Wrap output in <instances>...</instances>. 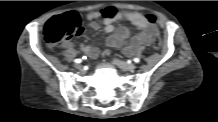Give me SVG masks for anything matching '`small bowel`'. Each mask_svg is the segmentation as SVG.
I'll use <instances>...</instances> for the list:
<instances>
[{
    "mask_svg": "<svg viewBox=\"0 0 218 122\" xmlns=\"http://www.w3.org/2000/svg\"><path fill=\"white\" fill-rule=\"evenodd\" d=\"M103 17L104 29L111 35L107 39L108 48H121L125 54L130 55L139 50L143 46L150 44L151 39L155 33V26L147 20V18L136 11H118L115 7L107 6L98 11L88 13L87 19L90 21V28L97 30L98 23L95 21L97 18ZM126 20L138 29V33L133 36L128 43L129 31L126 27L115 28L116 21ZM83 53L95 59L99 55V50L95 45L81 46ZM108 53V49L105 51Z\"/></svg>",
    "mask_w": 218,
    "mask_h": 122,
    "instance_id": "obj_1",
    "label": "small bowel"
}]
</instances>
